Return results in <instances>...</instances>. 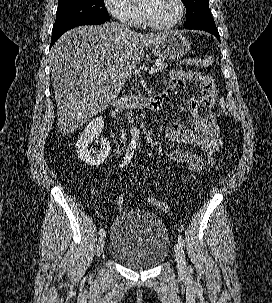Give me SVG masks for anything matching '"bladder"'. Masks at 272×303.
Listing matches in <instances>:
<instances>
[{
	"mask_svg": "<svg viewBox=\"0 0 272 303\" xmlns=\"http://www.w3.org/2000/svg\"><path fill=\"white\" fill-rule=\"evenodd\" d=\"M170 249L168 230L154 213L126 209L111 225L110 256L134 270H146L162 263Z\"/></svg>",
	"mask_w": 272,
	"mask_h": 303,
	"instance_id": "obj_1",
	"label": "bladder"
}]
</instances>
